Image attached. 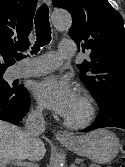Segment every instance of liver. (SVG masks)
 I'll list each match as a JSON object with an SVG mask.
<instances>
[{
  "instance_id": "6515ba94",
  "label": "liver",
  "mask_w": 125,
  "mask_h": 167,
  "mask_svg": "<svg viewBox=\"0 0 125 167\" xmlns=\"http://www.w3.org/2000/svg\"><path fill=\"white\" fill-rule=\"evenodd\" d=\"M45 155L40 139L30 141L17 126L0 120V162L39 160Z\"/></svg>"
}]
</instances>
